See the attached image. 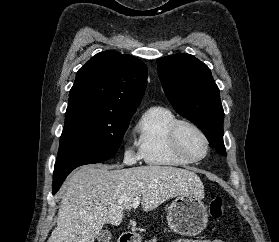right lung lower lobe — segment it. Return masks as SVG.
Returning a JSON list of instances; mask_svg holds the SVG:
<instances>
[{
    "label": "right lung lower lobe",
    "instance_id": "1",
    "mask_svg": "<svg viewBox=\"0 0 279 242\" xmlns=\"http://www.w3.org/2000/svg\"><path fill=\"white\" fill-rule=\"evenodd\" d=\"M66 177L62 178V179H59L57 181H54L53 182V185H52V193L55 194L57 193V191L59 190L61 184L63 183V180L65 179Z\"/></svg>",
    "mask_w": 279,
    "mask_h": 242
}]
</instances>
